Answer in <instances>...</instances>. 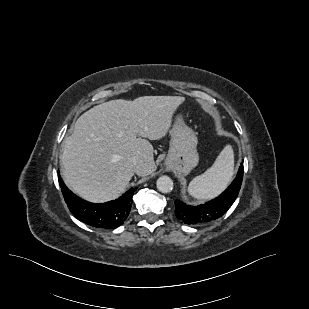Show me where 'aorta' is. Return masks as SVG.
I'll use <instances>...</instances> for the list:
<instances>
[{
  "label": "aorta",
  "instance_id": "762f6f07",
  "mask_svg": "<svg viewBox=\"0 0 309 309\" xmlns=\"http://www.w3.org/2000/svg\"><path fill=\"white\" fill-rule=\"evenodd\" d=\"M157 189L162 193H169L173 189V181L168 176H161L156 183Z\"/></svg>",
  "mask_w": 309,
  "mask_h": 309
}]
</instances>
